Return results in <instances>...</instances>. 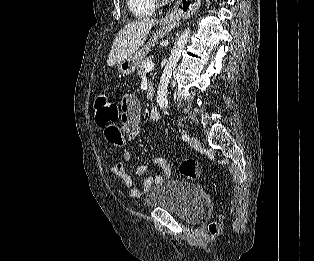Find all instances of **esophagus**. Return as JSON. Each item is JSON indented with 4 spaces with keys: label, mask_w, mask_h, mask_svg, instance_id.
Listing matches in <instances>:
<instances>
[{
    "label": "esophagus",
    "mask_w": 314,
    "mask_h": 261,
    "mask_svg": "<svg viewBox=\"0 0 314 261\" xmlns=\"http://www.w3.org/2000/svg\"><path fill=\"white\" fill-rule=\"evenodd\" d=\"M201 4V0H197V2H195L193 5H189L188 9L186 11H184L183 9H180V8H177L175 11H174V15H182L184 16L185 14L187 15H190V14H193L197 8L200 6Z\"/></svg>",
    "instance_id": "obj_1"
}]
</instances>
